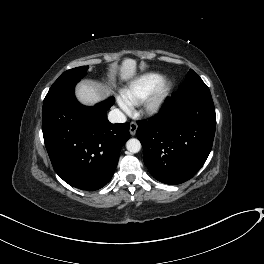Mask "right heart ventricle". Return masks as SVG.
I'll list each match as a JSON object with an SVG mask.
<instances>
[{"label": "right heart ventricle", "instance_id": "1", "mask_svg": "<svg viewBox=\"0 0 264 264\" xmlns=\"http://www.w3.org/2000/svg\"><path fill=\"white\" fill-rule=\"evenodd\" d=\"M160 79L161 75L157 72H145L138 75L121 91L122 100L130 106L140 103Z\"/></svg>", "mask_w": 264, "mask_h": 264}]
</instances>
